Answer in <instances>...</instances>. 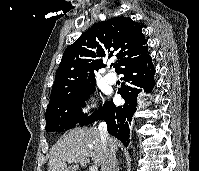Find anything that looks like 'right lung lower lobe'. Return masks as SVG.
<instances>
[{"instance_id":"right-lung-lower-lobe-1","label":"right lung lower lobe","mask_w":199,"mask_h":171,"mask_svg":"<svg viewBox=\"0 0 199 171\" xmlns=\"http://www.w3.org/2000/svg\"><path fill=\"white\" fill-rule=\"evenodd\" d=\"M120 73L124 75L123 79L126 84L121 86L118 93L122 95L125 104L115 106L112 101H108L92 115L86 116L78 123L86 125L103 119L108 125V132L128 146L130 124L137 109V96L141 91L140 88H144L145 92L152 91L155 85V68L151 56L148 55L143 60L124 68Z\"/></svg>"}]
</instances>
